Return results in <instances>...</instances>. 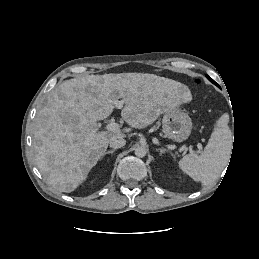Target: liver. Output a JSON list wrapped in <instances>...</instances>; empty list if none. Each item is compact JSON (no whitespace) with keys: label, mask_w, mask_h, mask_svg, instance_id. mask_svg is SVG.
<instances>
[{"label":"liver","mask_w":259,"mask_h":259,"mask_svg":"<svg viewBox=\"0 0 259 259\" xmlns=\"http://www.w3.org/2000/svg\"><path fill=\"white\" fill-rule=\"evenodd\" d=\"M180 82L148 73L87 75L53 89L36 114L35 162L46 182L60 192H72L105 153L111 138H123L131 128H145L162 113L191 100ZM118 99L121 116L131 128L99 131Z\"/></svg>","instance_id":"liver-1"}]
</instances>
